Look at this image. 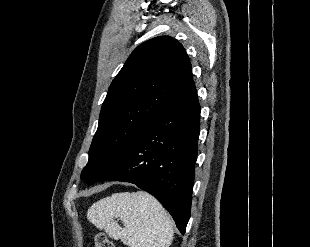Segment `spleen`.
Masks as SVG:
<instances>
[{
	"label": "spleen",
	"instance_id": "3e777b00",
	"mask_svg": "<svg viewBox=\"0 0 310 247\" xmlns=\"http://www.w3.org/2000/svg\"><path fill=\"white\" fill-rule=\"evenodd\" d=\"M88 220L114 240L130 247H169L173 222L168 212L144 191L114 193L94 203ZM120 218L123 228L114 220Z\"/></svg>",
	"mask_w": 310,
	"mask_h": 247
}]
</instances>
